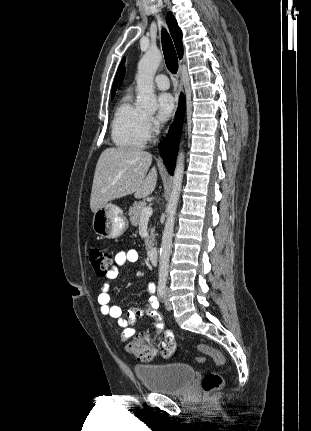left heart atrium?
<instances>
[{
    "instance_id": "39dd6f15",
    "label": "left heart atrium",
    "mask_w": 311,
    "mask_h": 431,
    "mask_svg": "<svg viewBox=\"0 0 311 431\" xmlns=\"http://www.w3.org/2000/svg\"><path fill=\"white\" fill-rule=\"evenodd\" d=\"M175 99L170 93H162L158 97V118L162 122L169 121L175 112Z\"/></svg>"
}]
</instances>
